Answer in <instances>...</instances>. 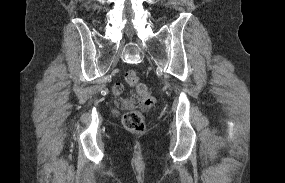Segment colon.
Returning a JSON list of instances; mask_svg holds the SVG:
<instances>
[{
	"label": "colon",
	"instance_id": "colon-1",
	"mask_svg": "<svg viewBox=\"0 0 285 183\" xmlns=\"http://www.w3.org/2000/svg\"><path fill=\"white\" fill-rule=\"evenodd\" d=\"M125 81L136 89L135 94L130 99L129 108L136 107L138 104L145 108H151L154 105V97L149 93L147 87L139 81L135 71H127ZM122 122L126 129L133 132H143L145 129L143 114L136 109L126 110L122 116Z\"/></svg>",
	"mask_w": 285,
	"mask_h": 183
}]
</instances>
